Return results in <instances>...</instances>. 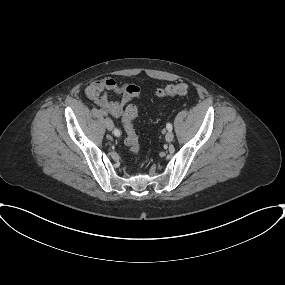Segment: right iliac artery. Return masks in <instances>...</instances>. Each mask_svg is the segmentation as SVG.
I'll use <instances>...</instances> for the list:
<instances>
[{
  "label": "right iliac artery",
  "mask_w": 285,
  "mask_h": 285,
  "mask_svg": "<svg viewBox=\"0 0 285 285\" xmlns=\"http://www.w3.org/2000/svg\"><path fill=\"white\" fill-rule=\"evenodd\" d=\"M102 113L105 115L106 113L102 110ZM114 134H115V136H120V131L116 128L115 130H114Z\"/></svg>",
  "instance_id": "obj_1"
}]
</instances>
